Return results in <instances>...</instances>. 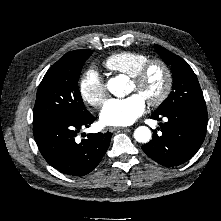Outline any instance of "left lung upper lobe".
I'll return each mask as SVG.
<instances>
[{
  "label": "left lung upper lobe",
  "instance_id": "left-lung-upper-lobe-1",
  "mask_svg": "<svg viewBox=\"0 0 221 221\" xmlns=\"http://www.w3.org/2000/svg\"><path fill=\"white\" fill-rule=\"evenodd\" d=\"M167 65H171L173 87L169 97L155 113H165L181 107H206L198 79L188 63L164 47L154 45Z\"/></svg>",
  "mask_w": 221,
  "mask_h": 221
}]
</instances>
